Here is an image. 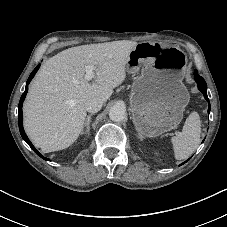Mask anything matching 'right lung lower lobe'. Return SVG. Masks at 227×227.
Segmentation results:
<instances>
[{
	"label": "right lung lower lobe",
	"mask_w": 227,
	"mask_h": 227,
	"mask_svg": "<svg viewBox=\"0 0 227 227\" xmlns=\"http://www.w3.org/2000/svg\"><path fill=\"white\" fill-rule=\"evenodd\" d=\"M40 65H38L33 71L32 73L30 74L28 80H27V83H26V89H25V92L22 94L21 96V99H20V102H19V105H18V111H19V115H18V124H19V130H20V133H21V136L22 138L24 139V141L31 147V149H33V151L38 155L40 156L41 158H43L44 160H48V158H45L44 156H42L38 151L37 149L32 145V143L30 142V140L28 139L24 129H23V114H22V105H23V101L25 99V96L28 92V84L30 83V81L32 80V78L35 76L36 72L38 71Z\"/></svg>",
	"instance_id": "obj_1"
}]
</instances>
